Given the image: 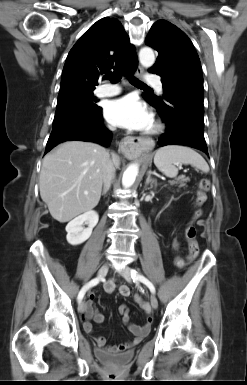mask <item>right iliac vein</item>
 Returning <instances> with one entry per match:
<instances>
[{
  "label": "right iliac vein",
  "mask_w": 247,
  "mask_h": 385,
  "mask_svg": "<svg viewBox=\"0 0 247 385\" xmlns=\"http://www.w3.org/2000/svg\"><path fill=\"white\" fill-rule=\"evenodd\" d=\"M108 270H109V264L104 263L98 271V277H100V278L104 277L107 274ZM85 310H86L85 301H80V303L78 305V311L80 313H84Z\"/></svg>",
  "instance_id": "63e3f726"
}]
</instances>
